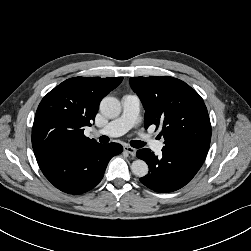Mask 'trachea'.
<instances>
[{"mask_svg": "<svg viewBox=\"0 0 251 251\" xmlns=\"http://www.w3.org/2000/svg\"><path fill=\"white\" fill-rule=\"evenodd\" d=\"M99 141L101 143H108L109 142V138L107 136H101L99 138ZM130 144L134 148H141V147H143L145 145V143L143 141H138V140L131 141Z\"/></svg>", "mask_w": 251, "mask_h": 251, "instance_id": "trachea-1", "label": "trachea"}]
</instances>
